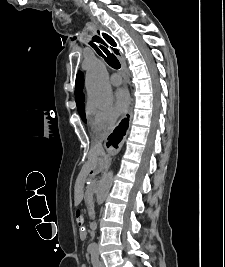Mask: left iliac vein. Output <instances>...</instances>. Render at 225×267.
Listing matches in <instances>:
<instances>
[{
	"mask_svg": "<svg viewBox=\"0 0 225 267\" xmlns=\"http://www.w3.org/2000/svg\"><path fill=\"white\" fill-rule=\"evenodd\" d=\"M100 267H105L103 262H100Z\"/></svg>",
	"mask_w": 225,
	"mask_h": 267,
	"instance_id": "left-iliac-vein-1",
	"label": "left iliac vein"
}]
</instances>
